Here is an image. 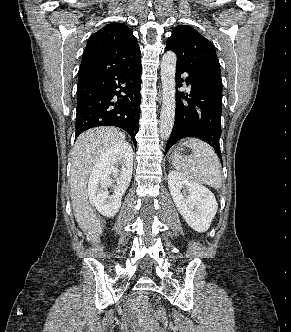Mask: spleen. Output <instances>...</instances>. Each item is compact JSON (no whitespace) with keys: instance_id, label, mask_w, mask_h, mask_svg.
<instances>
[{"instance_id":"3e777b00","label":"spleen","mask_w":291,"mask_h":332,"mask_svg":"<svg viewBox=\"0 0 291 332\" xmlns=\"http://www.w3.org/2000/svg\"><path fill=\"white\" fill-rule=\"evenodd\" d=\"M182 145L191 148L192 154L172 157L176 171L191 182L221 188V164L213 148L197 138H190Z\"/></svg>"}]
</instances>
